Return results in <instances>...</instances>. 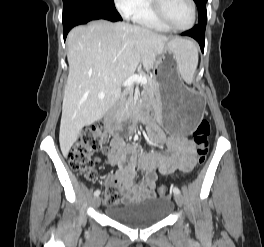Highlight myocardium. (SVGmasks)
<instances>
[{"mask_svg":"<svg viewBox=\"0 0 264 247\" xmlns=\"http://www.w3.org/2000/svg\"><path fill=\"white\" fill-rule=\"evenodd\" d=\"M149 1H150V8L154 17L169 30L186 31L194 26L197 17V9L194 0H188L191 6L192 17H191V21L186 26H176L169 22L163 11V0H149Z\"/></svg>","mask_w":264,"mask_h":247,"instance_id":"1","label":"myocardium"}]
</instances>
